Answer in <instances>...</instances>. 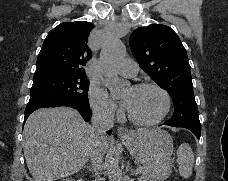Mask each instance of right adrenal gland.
Returning a JSON list of instances; mask_svg holds the SVG:
<instances>
[{
    "instance_id": "1",
    "label": "right adrenal gland",
    "mask_w": 228,
    "mask_h": 181,
    "mask_svg": "<svg viewBox=\"0 0 228 181\" xmlns=\"http://www.w3.org/2000/svg\"><path fill=\"white\" fill-rule=\"evenodd\" d=\"M84 169H87V171H93V169H91V167H88V165L87 167H84Z\"/></svg>"
}]
</instances>
